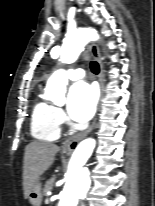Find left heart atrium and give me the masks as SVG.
Returning a JSON list of instances; mask_svg holds the SVG:
<instances>
[{"instance_id":"left-heart-atrium-1","label":"left heart atrium","mask_w":155,"mask_h":206,"mask_svg":"<svg viewBox=\"0 0 155 206\" xmlns=\"http://www.w3.org/2000/svg\"><path fill=\"white\" fill-rule=\"evenodd\" d=\"M96 90L91 84L80 81L73 84L68 93L67 110L76 121L89 120L95 111Z\"/></svg>"}]
</instances>
